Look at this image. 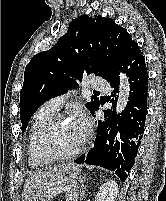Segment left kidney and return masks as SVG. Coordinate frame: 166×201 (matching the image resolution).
<instances>
[{
	"instance_id": "1",
	"label": "left kidney",
	"mask_w": 166,
	"mask_h": 201,
	"mask_svg": "<svg viewBox=\"0 0 166 201\" xmlns=\"http://www.w3.org/2000/svg\"><path fill=\"white\" fill-rule=\"evenodd\" d=\"M118 194V184L114 180L105 182L95 197V201H115Z\"/></svg>"
}]
</instances>
